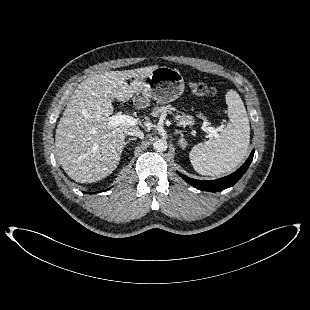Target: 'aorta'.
<instances>
[{"label": "aorta", "mask_w": 310, "mask_h": 310, "mask_svg": "<svg viewBox=\"0 0 310 310\" xmlns=\"http://www.w3.org/2000/svg\"><path fill=\"white\" fill-rule=\"evenodd\" d=\"M153 149L157 152H164L167 150V141L164 139H157L153 143Z\"/></svg>", "instance_id": "obj_1"}]
</instances>
